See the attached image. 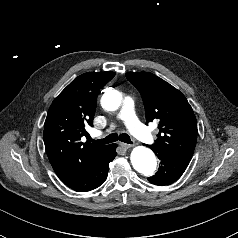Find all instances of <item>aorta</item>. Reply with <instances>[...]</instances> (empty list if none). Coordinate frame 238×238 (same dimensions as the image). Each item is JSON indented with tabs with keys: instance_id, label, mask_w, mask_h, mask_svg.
I'll use <instances>...</instances> for the list:
<instances>
[{
	"instance_id": "1",
	"label": "aorta",
	"mask_w": 238,
	"mask_h": 238,
	"mask_svg": "<svg viewBox=\"0 0 238 238\" xmlns=\"http://www.w3.org/2000/svg\"><path fill=\"white\" fill-rule=\"evenodd\" d=\"M101 105L107 111H115L121 105L120 93L116 90H110L103 94ZM131 163L136 171L151 176L156 170L157 161L154 153L144 146L135 147L131 152Z\"/></svg>"
}]
</instances>
